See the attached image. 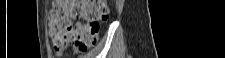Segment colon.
Wrapping results in <instances>:
<instances>
[{
  "label": "colon",
  "instance_id": "5ec220e1",
  "mask_svg": "<svg viewBox=\"0 0 225 58\" xmlns=\"http://www.w3.org/2000/svg\"><path fill=\"white\" fill-rule=\"evenodd\" d=\"M105 0H58L50 12L49 34L56 50L68 42L79 53L87 52L98 41L100 23L108 19ZM84 18L87 24L72 27V19Z\"/></svg>",
  "mask_w": 225,
  "mask_h": 58
}]
</instances>
